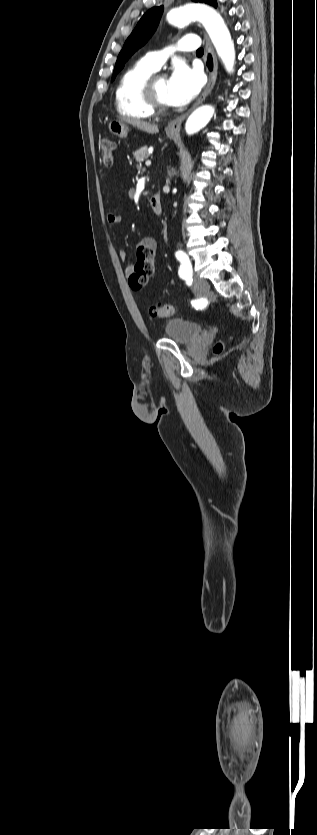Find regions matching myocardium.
Returning a JSON list of instances; mask_svg holds the SVG:
<instances>
[{"label":"myocardium","mask_w":317,"mask_h":835,"mask_svg":"<svg viewBox=\"0 0 317 835\" xmlns=\"http://www.w3.org/2000/svg\"><path fill=\"white\" fill-rule=\"evenodd\" d=\"M160 76L157 74H152L145 82L143 86V96L145 98L146 103L149 107L154 111V113H165L170 109L168 104L163 103L155 89L156 80Z\"/></svg>","instance_id":"f54148a6"}]
</instances>
